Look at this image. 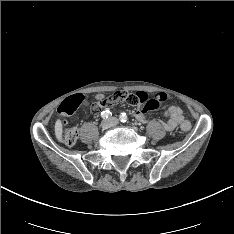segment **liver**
Listing matches in <instances>:
<instances>
[{"mask_svg": "<svg viewBox=\"0 0 234 234\" xmlns=\"http://www.w3.org/2000/svg\"><path fill=\"white\" fill-rule=\"evenodd\" d=\"M62 128L61 120L58 119L55 123V135L59 141L62 140Z\"/></svg>", "mask_w": 234, "mask_h": 234, "instance_id": "liver-1", "label": "liver"}]
</instances>
